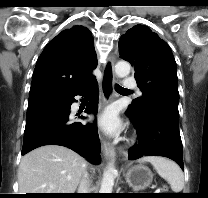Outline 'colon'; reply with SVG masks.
<instances>
[{"instance_id": "5ec220e1", "label": "colon", "mask_w": 208, "mask_h": 198, "mask_svg": "<svg viewBox=\"0 0 208 198\" xmlns=\"http://www.w3.org/2000/svg\"><path fill=\"white\" fill-rule=\"evenodd\" d=\"M159 190L162 191V192H167L168 191V189L166 187H162Z\"/></svg>"}]
</instances>
